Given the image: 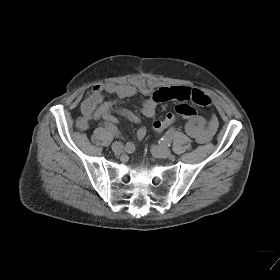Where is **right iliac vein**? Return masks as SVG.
Listing matches in <instances>:
<instances>
[{
    "label": "right iliac vein",
    "instance_id": "obj_1",
    "mask_svg": "<svg viewBox=\"0 0 280 280\" xmlns=\"http://www.w3.org/2000/svg\"><path fill=\"white\" fill-rule=\"evenodd\" d=\"M111 148L115 154H120L123 150V144L121 142H114Z\"/></svg>",
    "mask_w": 280,
    "mask_h": 280
}]
</instances>
